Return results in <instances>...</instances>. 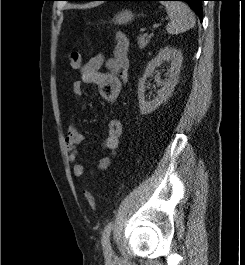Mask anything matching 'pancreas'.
<instances>
[{"instance_id": "obj_1", "label": "pancreas", "mask_w": 245, "mask_h": 265, "mask_svg": "<svg viewBox=\"0 0 245 265\" xmlns=\"http://www.w3.org/2000/svg\"><path fill=\"white\" fill-rule=\"evenodd\" d=\"M151 36L140 35L137 37V44L140 49H144L150 41Z\"/></svg>"}]
</instances>
